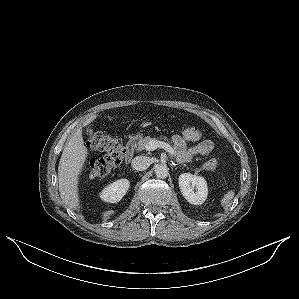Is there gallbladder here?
<instances>
[{
	"instance_id": "obj_1",
	"label": "gallbladder",
	"mask_w": 299,
	"mask_h": 299,
	"mask_svg": "<svg viewBox=\"0 0 299 299\" xmlns=\"http://www.w3.org/2000/svg\"><path fill=\"white\" fill-rule=\"evenodd\" d=\"M86 134H87V136L91 137L93 135V130L92 129H87Z\"/></svg>"
}]
</instances>
